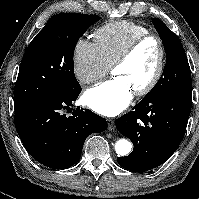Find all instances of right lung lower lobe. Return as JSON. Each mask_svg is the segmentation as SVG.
Wrapping results in <instances>:
<instances>
[{
    "label": "right lung lower lobe",
    "instance_id": "98d812e1",
    "mask_svg": "<svg viewBox=\"0 0 199 199\" xmlns=\"http://www.w3.org/2000/svg\"><path fill=\"white\" fill-rule=\"evenodd\" d=\"M79 94L42 101L14 116L16 130L28 153L39 163L53 169L74 165L80 158L83 144L92 133L107 127L104 118L90 110H73Z\"/></svg>",
    "mask_w": 199,
    "mask_h": 199
}]
</instances>
